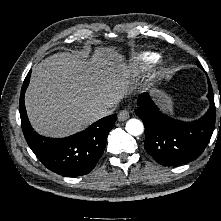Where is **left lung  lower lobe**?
<instances>
[{
    "instance_id": "left-lung-lower-lobe-1",
    "label": "left lung lower lobe",
    "mask_w": 221,
    "mask_h": 221,
    "mask_svg": "<svg viewBox=\"0 0 221 221\" xmlns=\"http://www.w3.org/2000/svg\"><path fill=\"white\" fill-rule=\"evenodd\" d=\"M210 109L195 122H182L162 114L148 94L138 98L136 115L145 126L144 147L160 164L174 166L195 160L207 146L215 126L214 95L210 82Z\"/></svg>"
}]
</instances>
